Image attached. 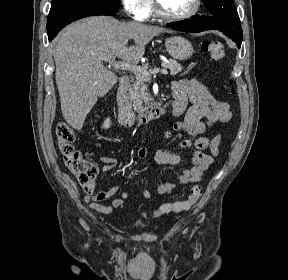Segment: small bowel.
I'll list each match as a JSON object with an SVG mask.
<instances>
[{"instance_id": "small-bowel-1", "label": "small bowel", "mask_w": 288, "mask_h": 280, "mask_svg": "<svg viewBox=\"0 0 288 280\" xmlns=\"http://www.w3.org/2000/svg\"><path fill=\"white\" fill-rule=\"evenodd\" d=\"M173 101L180 104L175 114H185L182 122H177L165 133V138H169L173 133L179 132L187 135V138L180 141L176 148L190 150L191 166L183 169L175 182H165L159 185L157 193L165 195L173 192L177 188L188 183L199 182L207 174L214 157L218 154V146L221 140L220 135L209 138L205 135L208 128L217 122L227 123L231 119L230 106L226 102L217 100L208 89L198 80L182 79L172 84ZM190 107L187 109V102ZM101 146V143H96ZM209 149V152H205ZM136 156L144 159L147 156V149L139 147ZM103 162L102 171L109 172L116 166V159L101 155ZM182 158L179 154L159 149L155 154V161L158 164L178 165ZM120 189V184L104 189L97 195L90 193L84 196L85 202L90 207L102 214H110L114 209L121 207L130 194L127 191L121 192L119 197L112 200L111 205H102L99 202L115 195ZM142 195L150 199L153 193L147 188L142 189Z\"/></svg>"}]
</instances>
